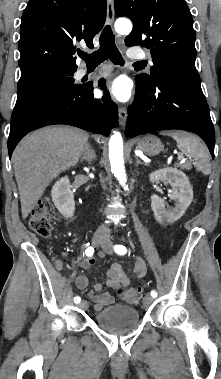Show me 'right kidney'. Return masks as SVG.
<instances>
[{
  "label": "right kidney",
  "mask_w": 221,
  "mask_h": 379,
  "mask_svg": "<svg viewBox=\"0 0 221 379\" xmlns=\"http://www.w3.org/2000/svg\"><path fill=\"white\" fill-rule=\"evenodd\" d=\"M52 201L65 218H72L75 211L74 195L67 176L59 179L51 191Z\"/></svg>",
  "instance_id": "obj_1"
}]
</instances>
